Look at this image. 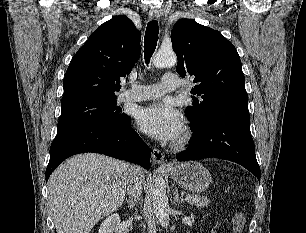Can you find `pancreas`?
I'll list each match as a JSON object with an SVG mask.
<instances>
[{
    "instance_id": "obj_1",
    "label": "pancreas",
    "mask_w": 306,
    "mask_h": 233,
    "mask_svg": "<svg viewBox=\"0 0 306 233\" xmlns=\"http://www.w3.org/2000/svg\"><path fill=\"white\" fill-rule=\"evenodd\" d=\"M191 197L189 203L196 206L197 208L207 207L210 203V200L207 197H201L197 194L188 195Z\"/></svg>"
}]
</instances>
